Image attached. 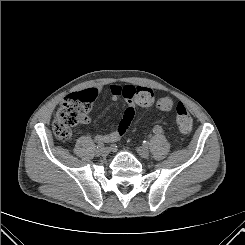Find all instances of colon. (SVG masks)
I'll use <instances>...</instances> for the list:
<instances>
[{"label": "colon", "mask_w": 245, "mask_h": 245, "mask_svg": "<svg viewBox=\"0 0 245 245\" xmlns=\"http://www.w3.org/2000/svg\"><path fill=\"white\" fill-rule=\"evenodd\" d=\"M96 95L95 89H88L70 94L64 99L53 121V132L59 140L65 141L71 137L72 128L82 122ZM135 100L139 106L148 108L153 104L155 98L152 90L138 87L135 91ZM176 122L182 134L187 135L191 132L192 118L182 103L176 105Z\"/></svg>", "instance_id": "colon-1"}]
</instances>
